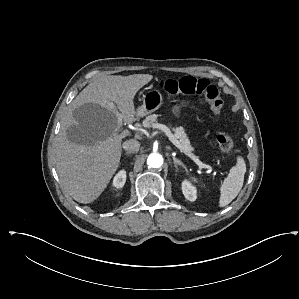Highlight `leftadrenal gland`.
Masks as SVG:
<instances>
[{
    "label": "left adrenal gland",
    "instance_id": "1",
    "mask_svg": "<svg viewBox=\"0 0 299 299\" xmlns=\"http://www.w3.org/2000/svg\"><path fill=\"white\" fill-rule=\"evenodd\" d=\"M173 161H174V165L177 168L178 165L182 166L184 169H186V166L183 164L182 161H180L179 159H177L175 156L172 157Z\"/></svg>",
    "mask_w": 299,
    "mask_h": 299
}]
</instances>
